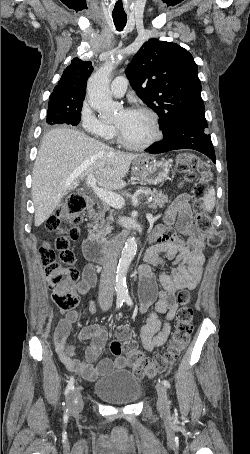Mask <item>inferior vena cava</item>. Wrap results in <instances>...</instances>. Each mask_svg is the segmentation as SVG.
Returning <instances> with one entry per match:
<instances>
[{"label":"inferior vena cava","instance_id":"obj_1","mask_svg":"<svg viewBox=\"0 0 250 454\" xmlns=\"http://www.w3.org/2000/svg\"><path fill=\"white\" fill-rule=\"evenodd\" d=\"M119 254L120 248L112 242L107 249L101 274L99 286V303L101 306L111 305L113 302L114 277Z\"/></svg>","mask_w":250,"mask_h":454}]
</instances>
